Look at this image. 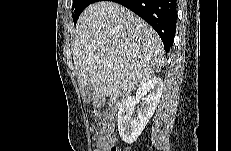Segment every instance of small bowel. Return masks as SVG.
<instances>
[{
  "label": "small bowel",
  "mask_w": 231,
  "mask_h": 151,
  "mask_svg": "<svg viewBox=\"0 0 231 151\" xmlns=\"http://www.w3.org/2000/svg\"><path fill=\"white\" fill-rule=\"evenodd\" d=\"M115 141L111 143H105L101 139H97L96 150L95 151H110L111 147L114 145Z\"/></svg>",
  "instance_id": "small-bowel-1"
}]
</instances>
